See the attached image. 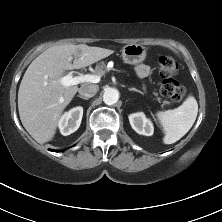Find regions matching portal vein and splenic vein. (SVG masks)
<instances>
[{"mask_svg":"<svg viewBox=\"0 0 222 222\" xmlns=\"http://www.w3.org/2000/svg\"><path fill=\"white\" fill-rule=\"evenodd\" d=\"M100 81V76L92 75V74H85L79 76H73L72 73L67 74L66 76L62 77L60 82L63 86L69 87L73 85H77L80 83L90 82V83H98Z\"/></svg>","mask_w":222,"mask_h":222,"instance_id":"obj_1","label":"portal vein and splenic vein"}]
</instances>
